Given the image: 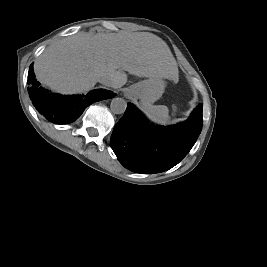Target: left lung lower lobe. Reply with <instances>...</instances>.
<instances>
[{"label": "left lung lower lobe", "instance_id": "1", "mask_svg": "<svg viewBox=\"0 0 267 267\" xmlns=\"http://www.w3.org/2000/svg\"><path fill=\"white\" fill-rule=\"evenodd\" d=\"M203 123L200 104L191 117L178 125L150 123L128 103L111 135V147L127 169L144 174L166 171L178 164L193 147Z\"/></svg>", "mask_w": 267, "mask_h": 267}]
</instances>
